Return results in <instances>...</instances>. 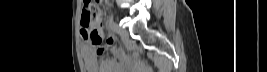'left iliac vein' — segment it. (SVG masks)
<instances>
[{"label":"left iliac vein","instance_id":"obj_1","mask_svg":"<svg viewBox=\"0 0 267 72\" xmlns=\"http://www.w3.org/2000/svg\"><path fill=\"white\" fill-rule=\"evenodd\" d=\"M118 33L123 42H127L129 40V33L126 29L118 26Z\"/></svg>","mask_w":267,"mask_h":72}]
</instances>
